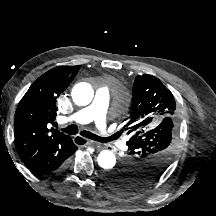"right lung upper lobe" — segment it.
<instances>
[{"instance_id":"right-lung-upper-lobe-1","label":"right lung upper lobe","mask_w":216,"mask_h":216,"mask_svg":"<svg viewBox=\"0 0 216 216\" xmlns=\"http://www.w3.org/2000/svg\"><path fill=\"white\" fill-rule=\"evenodd\" d=\"M79 68V65L58 66L47 71L19 102L14 120L15 142L28 169L74 144L69 136L57 129H48V125L57 115V97L69 86Z\"/></svg>"}]
</instances>
